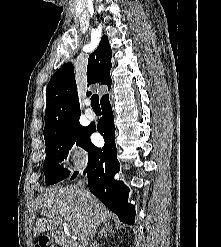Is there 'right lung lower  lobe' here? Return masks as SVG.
I'll use <instances>...</instances> for the list:
<instances>
[{
  "label": "right lung lower lobe",
  "mask_w": 221,
  "mask_h": 247,
  "mask_svg": "<svg viewBox=\"0 0 221 247\" xmlns=\"http://www.w3.org/2000/svg\"><path fill=\"white\" fill-rule=\"evenodd\" d=\"M101 108L102 118L98 122L97 130L103 135L105 144L102 148H98L92 144L89 137L86 149L89 166L85 169L84 174L87 172L91 193L113 211L120 221L133 225L135 208L134 205L128 203L129 189L122 181L114 179V175L119 172L120 164L116 157L115 126L109 97L101 102ZM88 130L91 134L96 128L89 127ZM77 174L78 172H74L71 179H74Z\"/></svg>",
  "instance_id": "1"
}]
</instances>
